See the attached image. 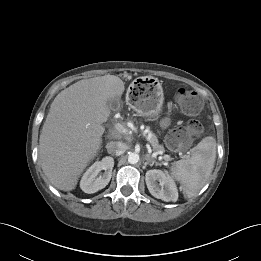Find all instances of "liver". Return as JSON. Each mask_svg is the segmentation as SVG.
I'll return each mask as SVG.
<instances>
[{"mask_svg": "<svg viewBox=\"0 0 261 261\" xmlns=\"http://www.w3.org/2000/svg\"><path fill=\"white\" fill-rule=\"evenodd\" d=\"M124 90L119 77L105 75L76 82L55 97L39 139L41 167L54 187L75 189L101 147L107 102L119 100Z\"/></svg>", "mask_w": 261, "mask_h": 261, "instance_id": "6515ba94", "label": "liver"}]
</instances>
